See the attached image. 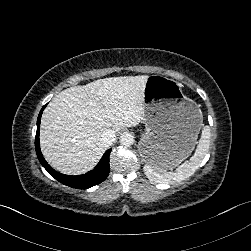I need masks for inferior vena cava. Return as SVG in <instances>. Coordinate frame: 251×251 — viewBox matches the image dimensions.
<instances>
[{
    "mask_svg": "<svg viewBox=\"0 0 251 251\" xmlns=\"http://www.w3.org/2000/svg\"><path fill=\"white\" fill-rule=\"evenodd\" d=\"M116 140V134L110 129H106L101 135V144L104 147L110 146Z\"/></svg>",
    "mask_w": 251,
    "mask_h": 251,
    "instance_id": "inferior-vena-cava-1",
    "label": "inferior vena cava"
}]
</instances>
